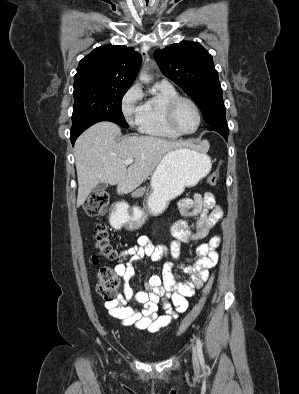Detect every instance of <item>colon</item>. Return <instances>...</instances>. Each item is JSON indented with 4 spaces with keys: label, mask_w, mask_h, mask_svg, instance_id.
Segmentation results:
<instances>
[{
    "label": "colon",
    "mask_w": 299,
    "mask_h": 394,
    "mask_svg": "<svg viewBox=\"0 0 299 394\" xmlns=\"http://www.w3.org/2000/svg\"><path fill=\"white\" fill-rule=\"evenodd\" d=\"M207 182L211 186L218 183V174L212 172L207 177ZM109 205V195L105 191H95L83 204V212L89 217L104 215ZM94 242L97 254L108 261H118L120 255L110 242L109 232L103 223H98L94 228ZM93 261L96 258L93 257ZM98 283L97 290L100 296L112 301L116 299L120 287V280L114 271L106 266L100 267L97 273ZM213 286V277H208L203 289L202 295L194 308L185 316L177 330L178 334L184 333L190 326L191 322L201 313L206 302V298Z\"/></svg>",
    "instance_id": "colon-1"
}]
</instances>
